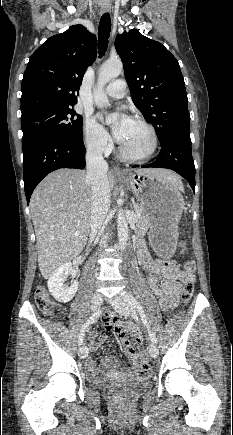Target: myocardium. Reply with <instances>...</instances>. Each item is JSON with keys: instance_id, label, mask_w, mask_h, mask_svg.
Segmentation results:
<instances>
[{"instance_id": "1", "label": "myocardium", "mask_w": 233, "mask_h": 435, "mask_svg": "<svg viewBox=\"0 0 233 435\" xmlns=\"http://www.w3.org/2000/svg\"><path fill=\"white\" fill-rule=\"evenodd\" d=\"M132 121L137 122L142 124L144 127H146V129L149 131V134L151 136V146L149 148V150L144 153L143 155L140 156H133L128 154L124 148L121 146V144L119 145V155L120 157L128 162H133V163H139V162H146L148 160H150L154 154L156 153L157 147H158V136H157V132L155 130V128L144 118L139 117V116H134L133 118H131Z\"/></svg>"}]
</instances>
